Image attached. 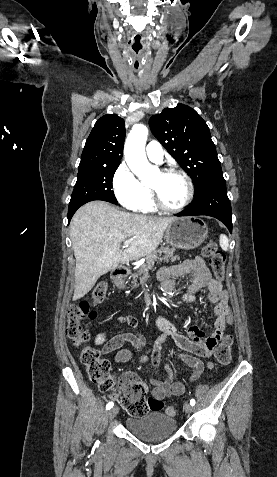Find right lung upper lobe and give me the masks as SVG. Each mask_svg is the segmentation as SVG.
<instances>
[{"mask_svg":"<svg viewBox=\"0 0 277 477\" xmlns=\"http://www.w3.org/2000/svg\"><path fill=\"white\" fill-rule=\"evenodd\" d=\"M124 140V120L116 114L102 116L85 143L78 169L119 166Z\"/></svg>","mask_w":277,"mask_h":477,"instance_id":"right-lung-upper-lobe-1","label":"right lung upper lobe"}]
</instances>
